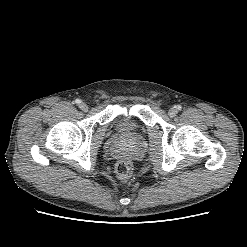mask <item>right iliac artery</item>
I'll list each match as a JSON object with an SVG mask.
<instances>
[{"label":"right iliac artery","mask_w":247,"mask_h":247,"mask_svg":"<svg viewBox=\"0 0 247 247\" xmlns=\"http://www.w3.org/2000/svg\"><path fill=\"white\" fill-rule=\"evenodd\" d=\"M81 101L79 99L75 100V103L79 104Z\"/></svg>","instance_id":"right-iliac-artery-1"}]
</instances>
